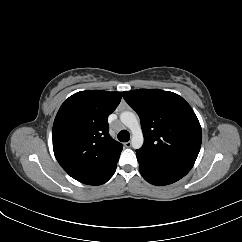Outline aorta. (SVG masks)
<instances>
[{
  "label": "aorta",
  "mask_w": 242,
  "mask_h": 242,
  "mask_svg": "<svg viewBox=\"0 0 242 242\" xmlns=\"http://www.w3.org/2000/svg\"><path fill=\"white\" fill-rule=\"evenodd\" d=\"M121 122L130 129L132 133L131 145L134 149L142 147L144 138L140 122L134 112L124 111L120 115Z\"/></svg>",
  "instance_id": "762f6f07"
}]
</instances>
